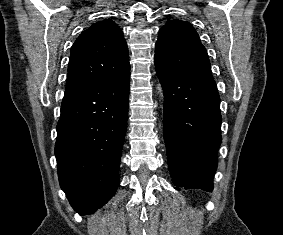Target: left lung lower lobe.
<instances>
[{"mask_svg":"<svg viewBox=\"0 0 283 235\" xmlns=\"http://www.w3.org/2000/svg\"><path fill=\"white\" fill-rule=\"evenodd\" d=\"M155 66L165 96L164 140L173 183L212 191L222 140L216 83Z\"/></svg>","mask_w":283,"mask_h":235,"instance_id":"left-lung-lower-lobe-1","label":"left lung lower lobe"}]
</instances>
